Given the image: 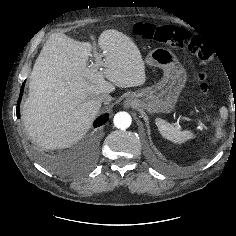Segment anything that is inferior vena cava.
I'll list each match as a JSON object with an SVG mask.
<instances>
[{"label": "inferior vena cava", "mask_w": 236, "mask_h": 236, "mask_svg": "<svg viewBox=\"0 0 236 236\" xmlns=\"http://www.w3.org/2000/svg\"><path fill=\"white\" fill-rule=\"evenodd\" d=\"M99 99H100L101 102L108 103L113 98L108 93H104V94L100 95Z\"/></svg>", "instance_id": "obj_1"}]
</instances>
